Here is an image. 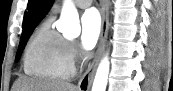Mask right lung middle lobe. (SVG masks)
I'll return each mask as SVG.
<instances>
[{
  "label": "right lung middle lobe",
  "instance_id": "1",
  "mask_svg": "<svg viewBox=\"0 0 173 91\" xmlns=\"http://www.w3.org/2000/svg\"><path fill=\"white\" fill-rule=\"evenodd\" d=\"M32 32L33 31H30V32L25 33L21 36L19 48H18L17 55H16V61L19 60L21 53H22V51L26 45V42H27L29 36L32 34Z\"/></svg>",
  "mask_w": 173,
  "mask_h": 91
}]
</instances>
